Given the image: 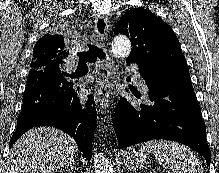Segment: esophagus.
I'll list each match as a JSON object with an SVG mask.
<instances>
[{"instance_id": "obj_1", "label": "esophagus", "mask_w": 219, "mask_h": 173, "mask_svg": "<svg viewBox=\"0 0 219 173\" xmlns=\"http://www.w3.org/2000/svg\"><path fill=\"white\" fill-rule=\"evenodd\" d=\"M108 24L107 18L98 15L95 19L94 31L98 42H104L107 36ZM110 83L109 76L102 74L96 84V102L100 109H106L109 105Z\"/></svg>"}]
</instances>
